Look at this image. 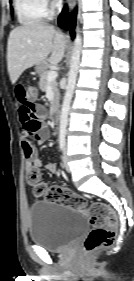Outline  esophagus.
<instances>
[{
  "mask_svg": "<svg viewBox=\"0 0 134 281\" xmlns=\"http://www.w3.org/2000/svg\"><path fill=\"white\" fill-rule=\"evenodd\" d=\"M67 5L69 11H72L76 5V0H67Z\"/></svg>",
  "mask_w": 134,
  "mask_h": 281,
  "instance_id": "obj_1",
  "label": "esophagus"
}]
</instances>
